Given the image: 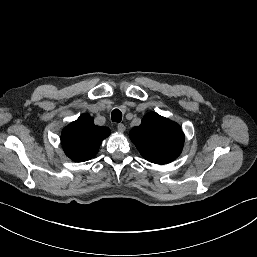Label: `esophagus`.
Instances as JSON below:
<instances>
[{
  "instance_id": "obj_1",
  "label": "esophagus",
  "mask_w": 257,
  "mask_h": 257,
  "mask_svg": "<svg viewBox=\"0 0 257 257\" xmlns=\"http://www.w3.org/2000/svg\"><path fill=\"white\" fill-rule=\"evenodd\" d=\"M117 129H118V131H119L120 133H123V132L125 131L126 127H125L124 124L119 123V124L117 125Z\"/></svg>"
}]
</instances>
